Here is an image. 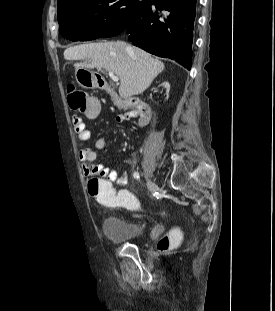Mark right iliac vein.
Instances as JSON below:
<instances>
[{
  "mask_svg": "<svg viewBox=\"0 0 275 311\" xmlns=\"http://www.w3.org/2000/svg\"><path fill=\"white\" fill-rule=\"evenodd\" d=\"M147 185H148V188H149V190H150L151 192H156L157 189H158L157 184L154 183V182L151 181V180H148V181H147Z\"/></svg>",
  "mask_w": 275,
  "mask_h": 311,
  "instance_id": "1",
  "label": "right iliac vein"
}]
</instances>
